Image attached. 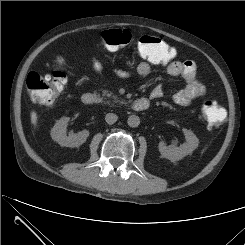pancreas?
Instances as JSON below:
<instances>
[{
    "instance_id": "pancreas-1",
    "label": "pancreas",
    "mask_w": 245,
    "mask_h": 245,
    "mask_svg": "<svg viewBox=\"0 0 245 245\" xmlns=\"http://www.w3.org/2000/svg\"><path fill=\"white\" fill-rule=\"evenodd\" d=\"M103 96L113 98L115 103L117 102L123 103V101L119 100V98L116 95H113L112 92H109L107 90L103 91Z\"/></svg>"
}]
</instances>
